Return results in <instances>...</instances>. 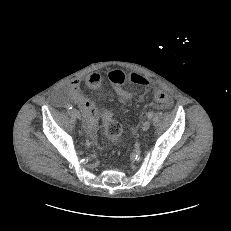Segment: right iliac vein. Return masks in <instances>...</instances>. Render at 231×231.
<instances>
[{
    "label": "right iliac vein",
    "instance_id": "obj_1",
    "mask_svg": "<svg viewBox=\"0 0 231 231\" xmlns=\"http://www.w3.org/2000/svg\"><path fill=\"white\" fill-rule=\"evenodd\" d=\"M72 113H73V114L75 115V117H77L78 119H81V118H82V115H81V113H80L79 110L73 109V110H72Z\"/></svg>",
    "mask_w": 231,
    "mask_h": 231
}]
</instances>
